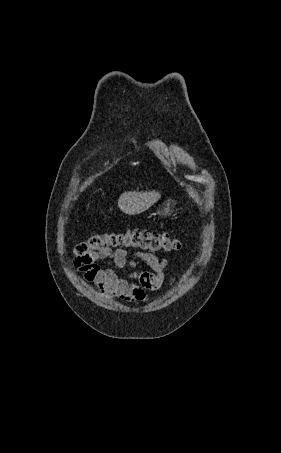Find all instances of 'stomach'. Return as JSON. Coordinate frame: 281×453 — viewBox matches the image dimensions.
<instances>
[{"label": "stomach", "instance_id": "obj_1", "mask_svg": "<svg viewBox=\"0 0 281 453\" xmlns=\"http://www.w3.org/2000/svg\"><path fill=\"white\" fill-rule=\"evenodd\" d=\"M172 198H167V200H164L162 204H159L157 212H154V214H160V216H168V214H171V206H172Z\"/></svg>", "mask_w": 281, "mask_h": 453}]
</instances>
